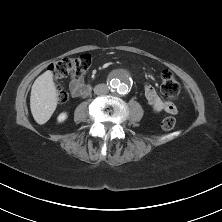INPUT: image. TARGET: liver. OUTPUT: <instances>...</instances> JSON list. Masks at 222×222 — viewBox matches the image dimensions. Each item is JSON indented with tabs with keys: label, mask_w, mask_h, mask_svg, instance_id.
Returning a JSON list of instances; mask_svg holds the SVG:
<instances>
[{
	"label": "liver",
	"mask_w": 222,
	"mask_h": 222,
	"mask_svg": "<svg viewBox=\"0 0 222 222\" xmlns=\"http://www.w3.org/2000/svg\"><path fill=\"white\" fill-rule=\"evenodd\" d=\"M58 104V94L53 81V73L46 71L33 83L30 96V108L34 120L45 124L54 113Z\"/></svg>",
	"instance_id": "6515ba94"
}]
</instances>
